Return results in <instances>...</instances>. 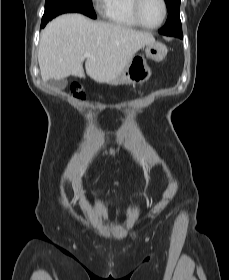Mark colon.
<instances>
[{
    "instance_id": "5ec220e1",
    "label": "colon",
    "mask_w": 229,
    "mask_h": 280,
    "mask_svg": "<svg viewBox=\"0 0 229 280\" xmlns=\"http://www.w3.org/2000/svg\"><path fill=\"white\" fill-rule=\"evenodd\" d=\"M71 93L78 99L84 98V88L80 84H73L71 86ZM112 152H113V150H108V153H112Z\"/></svg>"
}]
</instances>
